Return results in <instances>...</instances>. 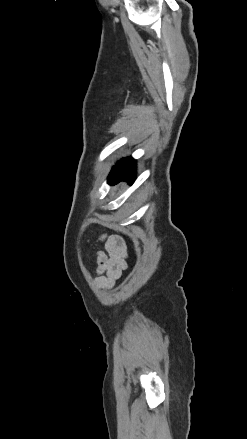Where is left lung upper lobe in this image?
Returning a JSON list of instances; mask_svg holds the SVG:
<instances>
[{"label": "left lung upper lobe", "mask_w": 247, "mask_h": 439, "mask_svg": "<svg viewBox=\"0 0 247 439\" xmlns=\"http://www.w3.org/2000/svg\"><path fill=\"white\" fill-rule=\"evenodd\" d=\"M128 162V158L126 159H122L121 161H119L116 166L113 167V170H122L125 168L126 164Z\"/></svg>", "instance_id": "obj_1"}]
</instances>
